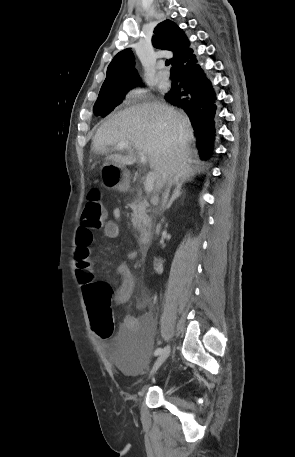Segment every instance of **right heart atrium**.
<instances>
[{
	"label": "right heart atrium",
	"instance_id": "d8ad5b80",
	"mask_svg": "<svg viewBox=\"0 0 295 457\" xmlns=\"http://www.w3.org/2000/svg\"><path fill=\"white\" fill-rule=\"evenodd\" d=\"M147 94V88L140 85H134L126 91V98L132 101H137L143 99Z\"/></svg>",
	"mask_w": 295,
	"mask_h": 457
}]
</instances>
